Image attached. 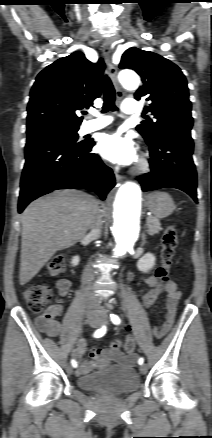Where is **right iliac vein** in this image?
Returning <instances> with one entry per match:
<instances>
[{"instance_id": "obj_1", "label": "right iliac vein", "mask_w": 212, "mask_h": 438, "mask_svg": "<svg viewBox=\"0 0 212 438\" xmlns=\"http://www.w3.org/2000/svg\"><path fill=\"white\" fill-rule=\"evenodd\" d=\"M88 323H89V325L92 326V327H98V326H99V319H98L97 316H95V315H91V316L88 317ZM66 370H67L68 373H71V372L73 371V368H72V366L67 365ZM78 372H79V371L77 370V371H76V374H77Z\"/></svg>"}]
</instances>
